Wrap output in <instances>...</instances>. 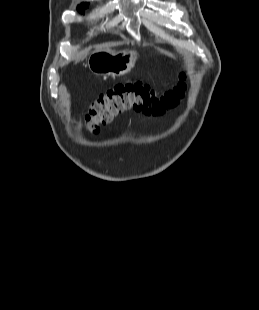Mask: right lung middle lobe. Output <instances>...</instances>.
Listing matches in <instances>:
<instances>
[{
    "label": "right lung middle lobe",
    "instance_id": "right-lung-middle-lobe-1",
    "mask_svg": "<svg viewBox=\"0 0 259 310\" xmlns=\"http://www.w3.org/2000/svg\"><path fill=\"white\" fill-rule=\"evenodd\" d=\"M88 7V4H84V5H80L78 6V10L79 12H83L84 13V9Z\"/></svg>",
    "mask_w": 259,
    "mask_h": 310
}]
</instances>
